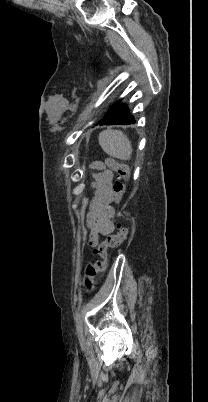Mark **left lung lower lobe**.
Segmentation results:
<instances>
[{
  "label": "left lung lower lobe",
  "instance_id": "left-lung-lower-lobe-1",
  "mask_svg": "<svg viewBox=\"0 0 208 402\" xmlns=\"http://www.w3.org/2000/svg\"><path fill=\"white\" fill-rule=\"evenodd\" d=\"M132 123H135L134 118L128 115V109L119 103L100 121V125H127Z\"/></svg>",
  "mask_w": 208,
  "mask_h": 402
}]
</instances>
